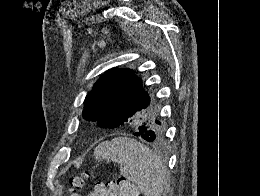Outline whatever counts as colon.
<instances>
[{
  "mask_svg": "<svg viewBox=\"0 0 260 196\" xmlns=\"http://www.w3.org/2000/svg\"><path fill=\"white\" fill-rule=\"evenodd\" d=\"M89 176H90L89 173H85L84 175L72 176L69 181L70 186L72 188L71 189L72 192L76 193L82 187L84 178H88ZM124 183H125V178L122 176H119L113 180V184L115 186L122 187L124 185ZM114 193H116V192H114ZM75 196H76V194H75Z\"/></svg>",
  "mask_w": 260,
  "mask_h": 196,
  "instance_id": "colon-1",
  "label": "colon"
}]
</instances>
